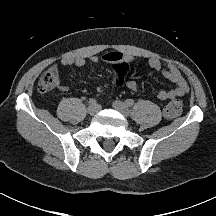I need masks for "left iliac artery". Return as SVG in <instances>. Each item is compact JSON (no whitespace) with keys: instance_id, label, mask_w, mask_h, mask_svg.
Listing matches in <instances>:
<instances>
[{"instance_id":"1","label":"left iliac artery","mask_w":216,"mask_h":216,"mask_svg":"<svg viewBox=\"0 0 216 216\" xmlns=\"http://www.w3.org/2000/svg\"><path fill=\"white\" fill-rule=\"evenodd\" d=\"M125 103L127 104V106L131 107V106L134 105V100H133V99H127V100L125 101Z\"/></svg>"}]
</instances>
